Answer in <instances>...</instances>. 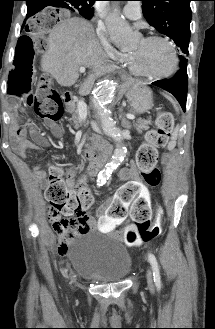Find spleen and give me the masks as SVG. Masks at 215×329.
I'll use <instances>...</instances> for the list:
<instances>
[{
	"label": "spleen",
	"mask_w": 215,
	"mask_h": 329,
	"mask_svg": "<svg viewBox=\"0 0 215 329\" xmlns=\"http://www.w3.org/2000/svg\"><path fill=\"white\" fill-rule=\"evenodd\" d=\"M174 105L175 110L178 112V107L176 106V103L173 101V99L169 96H166ZM176 138H177V131L174 132L172 140L169 144V149H173L176 145Z\"/></svg>",
	"instance_id": "3e777b00"
}]
</instances>
